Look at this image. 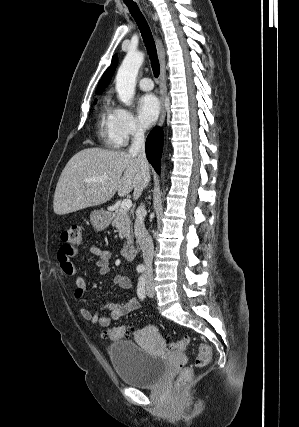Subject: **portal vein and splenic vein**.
Returning a JSON list of instances; mask_svg holds the SVG:
<instances>
[{
    "mask_svg": "<svg viewBox=\"0 0 299 427\" xmlns=\"http://www.w3.org/2000/svg\"><path fill=\"white\" fill-rule=\"evenodd\" d=\"M108 176L107 175H103L100 178H93L90 179L91 181H95V180H104L107 179ZM120 207L124 210H129L132 207V201L130 199H125L121 202Z\"/></svg>",
    "mask_w": 299,
    "mask_h": 427,
    "instance_id": "obj_1",
    "label": "portal vein and splenic vein"
}]
</instances>
